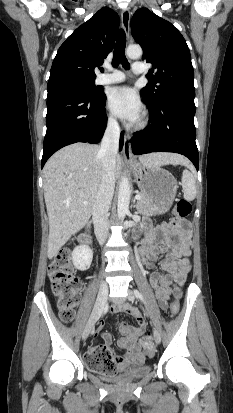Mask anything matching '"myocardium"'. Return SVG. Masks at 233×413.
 <instances>
[{"instance_id":"1","label":"myocardium","mask_w":233,"mask_h":413,"mask_svg":"<svg viewBox=\"0 0 233 413\" xmlns=\"http://www.w3.org/2000/svg\"><path fill=\"white\" fill-rule=\"evenodd\" d=\"M147 124H148V119L146 117H144L137 123V125L135 126V129L136 130H143V129L146 128Z\"/></svg>"}]
</instances>
